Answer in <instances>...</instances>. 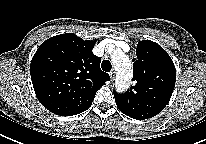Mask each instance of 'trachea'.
I'll return each instance as SVG.
<instances>
[{
    "label": "trachea",
    "instance_id": "obj_1",
    "mask_svg": "<svg viewBox=\"0 0 206 144\" xmlns=\"http://www.w3.org/2000/svg\"><path fill=\"white\" fill-rule=\"evenodd\" d=\"M101 68L105 72H110L112 65H111L109 60H103V62L101 64Z\"/></svg>",
    "mask_w": 206,
    "mask_h": 144
}]
</instances>
